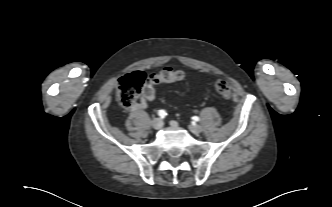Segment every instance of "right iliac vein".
<instances>
[{
  "label": "right iliac vein",
  "mask_w": 332,
  "mask_h": 207,
  "mask_svg": "<svg viewBox=\"0 0 332 207\" xmlns=\"http://www.w3.org/2000/svg\"><path fill=\"white\" fill-rule=\"evenodd\" d=\"M151 125L154 129L159 130L163 126V122L160 118H155L152 120Z\"/></svg>",
  "instance_id": "63e3f726"
}]
</instances>
